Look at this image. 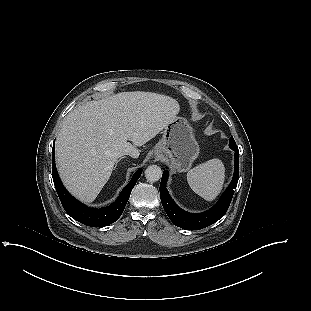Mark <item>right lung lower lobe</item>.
<instances>
[{
	"label": "right lung lower lobe",
	"mask_w": 311,
	"mask_h": 311,
	"mask_svg": "<svg viewBox=\"0 0 311 311\" xmlns=\"http://www.w3.org/2000/svg\"><path fill=\"white\" fill-rule=\"evenodd\" d=\"M141 173V169L134 173L129 184L126 185L117 200L111 205L99 209L89 208L72 197L62 185L55 166L54 147L52 150V177L62 206L72 218L87 226L101 227L115 222L121 216Z\"/></svg>",
	"instance_id": "obj_1"
}]
</instances>
